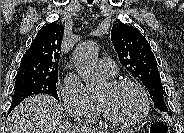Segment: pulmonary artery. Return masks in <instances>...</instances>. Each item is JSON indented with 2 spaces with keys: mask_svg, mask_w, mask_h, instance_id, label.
Instances as JSON below:
<instances>
[{
  "mask_svg": "<svg viewBox=\"0 0 184 133\" xmlns=\"http://www.w3.org/2000/svg\"><path fill=\"white\" fill-rule=\"evenodd\" d=\"M99 68L107 77H114L117 74L116 63L109 57L100 59Z\"/></svg>",
  "mask_w": 184,
  "mask_h": 133,
  "instance_id": "1",
  "label": "pulmonary artery"
}]
</instances>
